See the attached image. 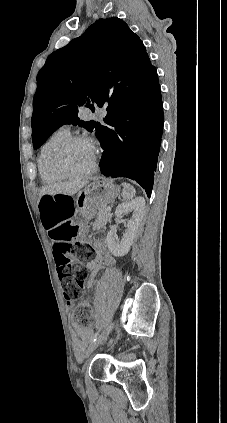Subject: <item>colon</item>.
I'll return each mask as SVG.
<instances>
[{"label":"colon","mask_w":227,"mask_h":423,"mask_svg":"<svg viewBox=\"0 0 227 423\" xmlns=\"http://www.w3.org/2000/svg\"><path fill=\"white\" fill-rule=\"evenodd\" d=\"M40 210L45 227L69 221L55 231L56 242L53 256L62 282L64 298L66 301L74 302L81 297L88 271L82 264H74L72 256H76L82 262H90L94 259L93 251L87 243H69L76 233V228L71 223L73 205L68 197L61 194H47L41 199ZM91 313V305L87 301H83L76 307L73 320L79 326L89 327L92 325Z\"/></svg>","instance_id":"5ec220e1"}]
</instances>
